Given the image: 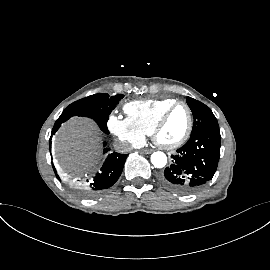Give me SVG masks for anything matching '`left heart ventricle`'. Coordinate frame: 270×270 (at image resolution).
<instances>
[{
  "label": "left heart ventricle",
  "instance_id": "obj_1",
  "mask_svg": "<svg viewBox=\"0 0 270 270\" xmlns=\"http://www.w3.org/2000/svg\"><path fill=\"white\" fill-rule=\"evenodd\" d=\"M188 125V113L184 106L176 107L164 124L159 138L165 143L175 142L180 139Z\"/></svg>",
  "mask_w": 270,
  "mask_h": 270
}]
</instances>
